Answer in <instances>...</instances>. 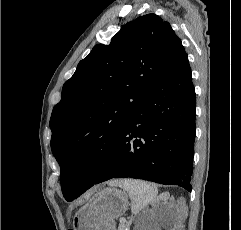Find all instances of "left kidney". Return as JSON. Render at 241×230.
Wrapping results in <instances>:
<instances>
[{
    "label": "left kidney",
    "mask_w": 241,
    "mask_h": 230,
    "mask_svg": "<svg viewBox=\"0 0 241 230\" xmlns=\"http://www.w3.org/2000/svg\"><path fill=\"white\" fill-rule=\"evenodd\" d=\"M137 230H154V226L150 224H144L142 226H139Z\"/></svg>",
    "instance_id": "obj_1"
}]
</instances>
